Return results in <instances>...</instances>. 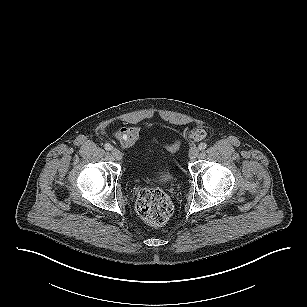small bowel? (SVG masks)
<instances>
[{"mask_svg": "<svg viewBox=\"0 0 307 307\" xmlns=\"http://www.w3.org/2000/svg\"><path fill=\"white\" fill-rule=\"evenodd\" d=\"M146 127L149 124H145ZM141 126H125L121 127L113 133V138L119 142L122 148L127 149L132 147L139 139Z\"/></svg>", "mask_w": 307, "mask_h": 307, "instance_id": "small-bowel-1", "label": "small bowel"}]
</instances>
